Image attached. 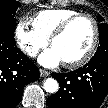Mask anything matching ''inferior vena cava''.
Returning <instances> with one entry per match:
<instances>
[{"label": "inferior vena cava", "mask_w": 108, "mask_h": 108, "mask_svg": "<svg viewBox=\"0 0 108 108\" xmlns=\"http://www.w3.org/2000/svg\"><path fill=\"white\" fill-rule=\"evenodd\" d=\"M25 51L28 55L33 56V57L36 56V54H37V49H35L33 47H27L25 49Z\"/></svg>", "instance_id": "obj_1"}]
</instances>
